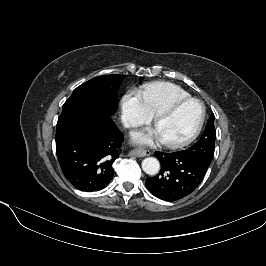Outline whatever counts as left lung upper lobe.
<instances>
[{"label":"left lung upper lobe","instance_id":"obj_1","mask_svg":"<svg viewBox=\"0 0 266 266\" xmlns=\"http://www.w3.org/2000/svg\"><path fill=\"white\" fill-rule=\"evenodd\" d=\"M215 139L216 130L214 127V114L212 113L199 141L181 152L208 168L214 155Z\"/></svg>","mask_w":266,"mask_h":266}]
</instances>
